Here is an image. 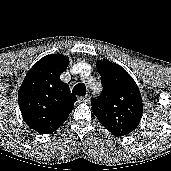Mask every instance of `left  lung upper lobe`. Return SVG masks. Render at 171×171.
I'll list each match as a JSON object with an SVG mask.
<instances>
[{"label":"left lung upper lobe","instance_id":"obj_1","mask_svg":"<svg viewBox=\"0 0 171 171\" xmlns=\"http://www.w3.org/2000/svg\"><path fill=\"white\" fill-rule=\"evenodd\" d=\"M103 92L92 99V111L99 122L111 133L128 135L137 128L142 117L140 91L133 78L119 65L98 61Z\"/></svg>","mask_w":171,"mask_h":171}]
</instances>
